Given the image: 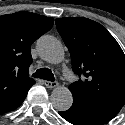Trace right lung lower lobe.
Masks as SVG:
<instances>
[{
    "label": "right lung lower lobe",
    "mask_w": 125,
    "mask_h": 125,
    "mask_svg": "<svg viewBox=\"0 0 125 125\" xmlns=\"http://www.w3.org/2000/svg\"><path fill=\"white\" fill-rule=\"evenodd\" d=\"M28 90L29 89L21 93H13L0 98V114L12 111L19 107L24 101Z\"/></svg>",
    "instance_id": "1"
}]
</instances>
